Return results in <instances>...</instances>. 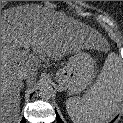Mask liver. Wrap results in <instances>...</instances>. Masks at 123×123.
Listing matches in <instances>:
<instances>
[{
  "label": "liver",
  "mask_w": 123,
  "mask_h": 123,
  "mask_svg": "<svg viewBox=\"0 0 123 123\" xmlns=\"http://www.w3.org/2000/svg\"><path fill=\"white\" fill-rule=\"evenodd\" d=\"M65 23L67 19L41 7L9 12L1 20V123L18 120L24 84L19 78L21 72H29L33 84L40 60L59 61L76 48L99 50L95 42L98 37L92 30L77 33Z\"/></svg>",
  "instance_id": "obj_1"
}]
</instances>
